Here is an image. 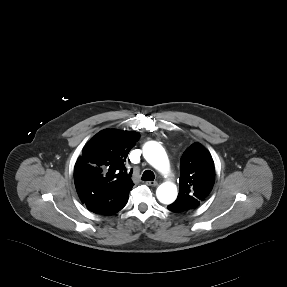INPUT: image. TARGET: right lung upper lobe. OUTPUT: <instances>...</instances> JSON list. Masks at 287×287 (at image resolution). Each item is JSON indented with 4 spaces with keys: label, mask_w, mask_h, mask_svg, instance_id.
Instances as JSON below:
<instances>
[{
    "label": "right lung upper lobe",
    "mask_w": 287,
    "mask_h": 287,
    "mask_svg": "<svg viewBox=\"0 0 287 287\" xmlns=\"http://www.w3.org/2000/svg\"><path fill=\"white\" fill-rule=\"evenodd\" d=\"M138 139L136 132L115 129L102 130L91 138L74 167L75 187L82 202L93 190L132 189L131 174L124 163Z\"/></svg>",
    "instance_id": "right-lung-upper-lobe-1"
}]
</instances>
